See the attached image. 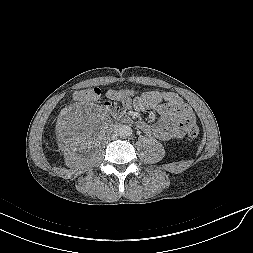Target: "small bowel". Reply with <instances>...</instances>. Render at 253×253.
I'll return each instance as SVG.
<instances>
[{
  "mask_svg": "<svg viewBox=\"0 0 253 253\" xmlns=\"http://www.w3.org/2000/svg\"><path fill=\"white\" fill-rule=\"evenodd\" d=\"M109 100L103 102L104 107L120 110L121 105L129 107L131 104L137 110L152 109L156 110L162 118L154 124L140 122L139 128L152 135L160 141H169L180 139L187 133L188 127L195 124V115L192 109L182 100V98L173 92L148 91L140 96L127 100Z\"/></svg>",
  "mask_w": 253,
  "mask_h": 253,
  "instance_id": "1",
  "label": "small bowel"
}]
</instances>
